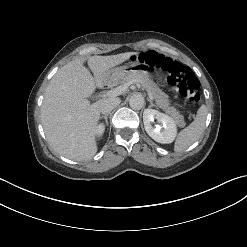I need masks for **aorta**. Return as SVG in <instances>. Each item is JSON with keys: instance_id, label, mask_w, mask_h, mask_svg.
<instances>
[{"instance_id": "762f6f07", "label": "aorta", "mask_w": 247, "mask_h": 247, "mask_svg": "<svg viewBox=\"0 0 247 247\" xmlns=\"http://www.w3.org/2000/svg\"><path fill=\"white\" fill-rule=\"evenodd\" d=\"M129 105L134 110H140L144 106V98L140 94L132 95L129 99Z\"/></svg>"}]
</instances>
